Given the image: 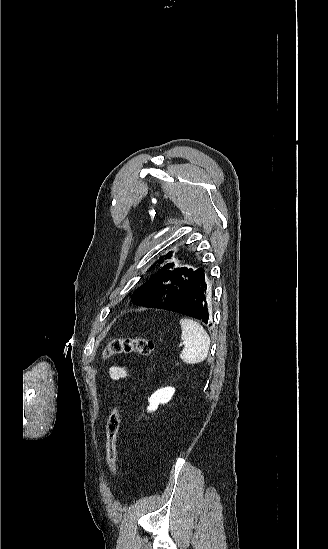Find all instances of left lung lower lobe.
<instances>
[{"label": "left lung lower lobe", "instance_id": "0a47b994", "mask_svg": "<svg viewBox=\"0 0 328 549\" xmlns=\"http://www.w3.org/2000/svg\"><path fill=\"white\" fill-rule=\"evenodd\" d=\"M208 295L204 269L199 268L181 279L169 299L158 301L147 307L178 312L200 319L207 324L209 321Z\"/></svg>", "mask_w": 328, "mask_h": 549}]
</instances>
